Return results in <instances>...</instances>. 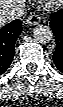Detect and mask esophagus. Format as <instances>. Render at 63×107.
I'll return each instance as SVG.
<instances>
[{"instance_id":"esophagus-1","label":"esophagus","mask_w":63,"mask_h":107,"mask_svg":"<svg viewBox=\"0 0 63 107\" xmlns=\"http://www.w3.org/2000/svg\"><path fill=\"white\" fill-rule=\"evenodd\" d=\"M40 22V17L36 14H31L28 18H27V24L28 25H37Z\"/></svg>"}]
</instances>
